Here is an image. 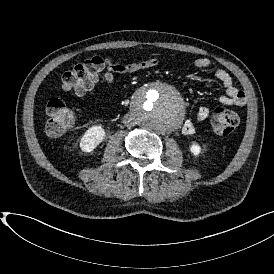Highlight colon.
Returning <instances> with one entry per match:
<instances>
[{"mask_svg": "<svg viewBox=\"0 0 274 274\" xmlns=\"http://www.w3.org/2000/svg\"><path fill=\"white\" fill-rule=\"evenodd\" d=\"M105 66H111L109 60L93 57L62 75L61 87L67 94L64 97L52 96L47 101L49 119L46 123V134L48 137H60L74 125L76 114L68 108L69 98L73 91L80 89L91 78L101 77V70ZM238 125L239 117L235 111L220 108L212 116V128L217 135L228 136L237 129Z\"/></svg>", "mask_w": 274, "mask_h": 274, "instance_id": "obj_1", "label": "colon"}]
</instances>
